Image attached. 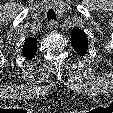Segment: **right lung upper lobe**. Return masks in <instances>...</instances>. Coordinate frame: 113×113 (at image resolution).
<instances>
[{
  "instance_id": "right-lung-upper-lobe-1",
  "label": "right lung upper lobe",
  "mask_w": 113,
  "mask_h": 113,
  "mask_svg": "<svg viewBox=\"0 0 113 113\" xmlns=\"http://www.w3.org/2000/svg\"><path fill=\"white\" fill-rule=\"evenodd\" d=\"M37 50V40L35 38H28L24 42L23 54L27 59H32Z\"/></svg>"
}]
</instances>
